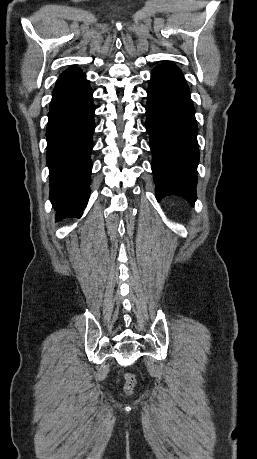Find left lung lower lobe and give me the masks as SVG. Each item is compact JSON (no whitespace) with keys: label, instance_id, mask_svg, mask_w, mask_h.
<instances>
[{"label":"left lung lower lobe","instance_id":"obj_1","mask_svg":"<svg viewBox=\"0 0 257 459\" xmlns=\"http://www.w3.org/2000/svg\"><path fill=\"white\" fill-rule=\"evenodd\" d=\"M147 94L146 129L153 153L156 198L177 195L194 205L198 128L181 70L170 62L158 65L152 71Z\"/></svg>","mask_w":257,"mask_h":459}]
</instances>
